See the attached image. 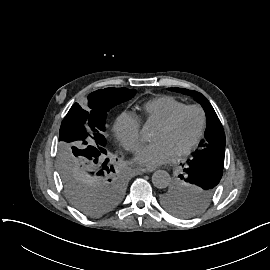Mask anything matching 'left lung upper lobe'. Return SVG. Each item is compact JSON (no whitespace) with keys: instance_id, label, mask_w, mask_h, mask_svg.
I'll return each mask as SVG.
<instances>
[{"instance_id":"obj_1","label":"left lung upper lobe","mask_w":270,"mask_h":270,"mask_svg":"<svg viewBox=\"0 0 270 270\" xmlns=\"http://www.w3.org/2000/svg\"><path fill=\"white\" fill-rule=\"evenodd\" d=\"M168 90L193 96L204 108L207 117L205 139L199 145L200 150L192 154L185 166L182 165L183 173L160 196L162 205L170 213L182 218H192L207 208L221 180L225 134L215 110L205 96L183 88Z\"/></svg>"}]
</instances>
